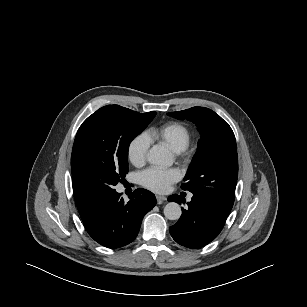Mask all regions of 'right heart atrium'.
<instances>
[{
	"instance_id": "obj_1",
	"label": "right heart atrium",
	"mask_w": 307,
	"mask_h": 307,
	"mask_svg": "<svg viewBox=\"0 0 307 307\" xmlns=\"http://www.w3.org/2000/svg\"><path fill=\"white\" fill-rule=\"evenodd\" d=\"M150 143L144 134L135 136L128 144L127 157L135 166H142L147 159Z\"/></svg>"
}]
</instances>
